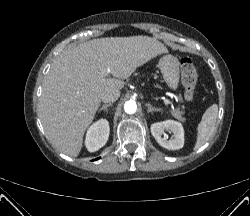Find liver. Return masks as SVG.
Returning a JSON list of instances; mask_svg holds the SVG:
<instances>
[{"instance_id": "1", "label": "liver", "mask_w": 250, "mask_h": 216, "mask_svg": "<svg viewBox=\"0 0 250 216\" xmlns=\"http://www.w3.org/2000/svg\"><path fill=\"white\" fill-rule=\"evenodd\" d=\"M166 52L157 39L142 35L99 38L62 51L45 78L38 110L50 142L63 153L78 156L102 94L122 89V80Z\"/></svg>"}]
</instances>
